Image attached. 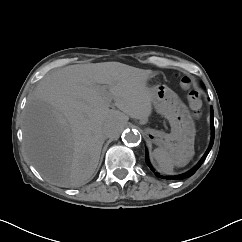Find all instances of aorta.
I'll return each instance as SVG.
<instances>
[{"label": "aorta", "mask_w": 242, "mask_h": 242, "mask_svg": "<svg viewBox=\"0 0 242 242\" xmlns=\"http://www.w3.org/2000/svg\"><path fill=\"white\" fill-rule=\"evenodd\" d=\"M122 139L127 144L135 145L140 142L141 136L136 131H125L122 135Z\"/></svg>", "instance_id": "obj_1"}]
</instances>
